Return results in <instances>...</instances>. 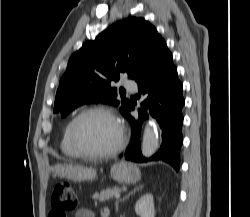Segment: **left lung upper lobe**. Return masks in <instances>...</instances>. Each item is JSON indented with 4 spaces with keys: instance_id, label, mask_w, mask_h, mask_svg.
<instances>
[{
    "instance_id": "obj_1",
    "label": "left lung upper lobe",
    "mask_w": 250,
    "mask_h": 217,
    "mask_svg": "<svg viewBox=\"0 0 250 217\" xmlns=\"http://www.w3.org/2000/svg\"><path fill=\"white\" fill-rule=\"evenodd\" d=\"M162 40L148 21L129 17L107 28L94 41H87L69 59L53 112L65 117L86 103L118 106L117 89L111 88L110 82L118 81L125 72L135 79L150 65ZM121 103L120 112L125 116L131 102L124 99Z\"/></svg>"
}]
</instances>
